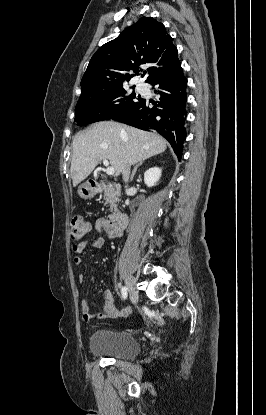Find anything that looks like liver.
Returning a JSON list of instances; mask_svg holds the SVG:
<instances>
[{"label": "liver", "mask_w": 266, "mask_h": 415, "mask_svg": "<svg viewBox=\"0 0 266 415\" xmlns=\"http://www.w3.org/2000/svg\"><path fill=\"white\" fill-rule=\"evenodd\" d=\"M166 145V140L156 133L114 121L95 123L74 136L70 168L73 186L86 179L104 159L109 160L118 176L126 165L163 153Z\"/></svg>", "instance_id": "obj_1"}]
</instances>
